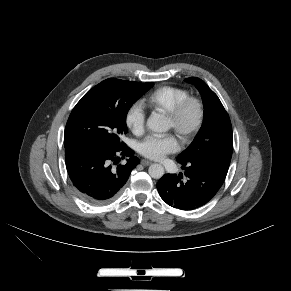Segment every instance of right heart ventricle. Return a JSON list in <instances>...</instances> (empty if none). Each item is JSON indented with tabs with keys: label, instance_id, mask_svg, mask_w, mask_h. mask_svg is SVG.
I'll return each instance as SVG.
<instances>
[{
	"label": "right heart ventricle",
	"instance_id": "right-heart-ventricle-1",
	"mask_svg": "<svg viewBox=\"0 0 291 291\" xmlns=\"http://www.w3.org/2000/svg\"><path fill=\"white\" fill-rule=\"evenodd\" d=\"M189 97L187 89L176 86H161L149 93L142 103L145 107L168 114L179 102Z\"/></svg>",
	"mask_w": 291,
	"mask_h": 291
}]
</instances>
